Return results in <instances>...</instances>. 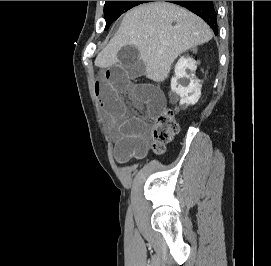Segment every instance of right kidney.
I'll list each match as a JSON object with an SVG mask.
<instances>
[{"label": "right kidney", "mask_w": 271, "mask_h": 266, "mask_svg": "<svg viewBox=\"0 0 271 266\" xmlns=\"http://www.w3.org/2000/svg\"><path fill=\"white\" fill-rule=\"evenodd\" d=\"M196 61L188 55L182 56L175 66V76L171 79V90L180 96V105H194L201 96V83L195 76ZM187 69L190 73H187Z\"/></svg>", "instance_id": "obj_1"}]
</instances>
